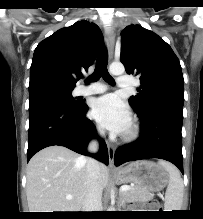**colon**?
<instances>
[{
  "mask_svg": "<svg viewBox=\"0 0 203 219\" xmlns=\"http://www.w3.org/2000/svg\"><path fill=\"white\" fill-rule=\"evenodd\" d=\"M150 208H152L154 210H160L161 204L158 200H153L150 202Z\"/></svg>",
  "mask_w": 203,
  "mask_h": 219,
  "instance_id": "1",
  "label": "colon"
}]
</instances>
